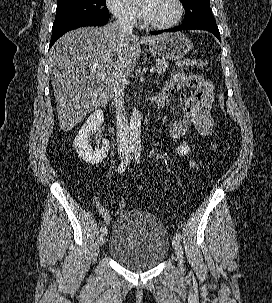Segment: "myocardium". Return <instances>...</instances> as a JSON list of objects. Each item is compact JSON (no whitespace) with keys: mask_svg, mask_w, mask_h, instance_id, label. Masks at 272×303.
<instances>
[{"mask_svg":"<svg viewBox=\"0 0 272 303\" xmlns=\"http://www.w3.org/2000/svg\"><path fill=\"white\" fill-rule=\"evenodd\" d=\"M174 2L177 6V14L172 21H170L166 24H154V23H151L149 20H147L146 17L144 16L143 12L140 11L143 26L146 28H149V29H153V30H167V29H171L174 26H176L183 17L184 5L181 0H174Z\"/></svg>","mask_w":272,"mask_h":303,"instance_id":"f54148a6","label":"myocardium"}]
</instances>
